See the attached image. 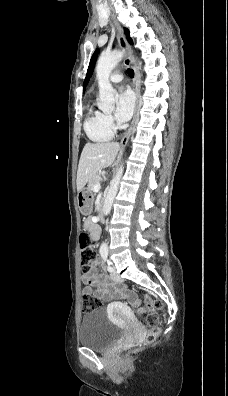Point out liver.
Here are the masks:
<instances>
[{"label": "liver", "instance_id": "obj_1", "mask_svg": "<svg viewBox=\"0 0 228 396\" xmlns=\"http://www.w3.org/2000/svg\"><path fill=\"white\" fill-rule=\"evenodd\" d=\"M121 147L117 142H101L85 144L78 165L77 191H81L86 183L103 168L114 166Z\"/></svg>", "mask_w": 228, "mask_h": 396}]
</instances>
